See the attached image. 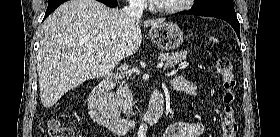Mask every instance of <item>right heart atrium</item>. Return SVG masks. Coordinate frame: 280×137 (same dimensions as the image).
I'll return each mask as SVG.
<instances>
[{
	"mask_svg": "<svg viewBox=\"0 0 280 137\" xmlns=\"http://www.w3.org/2000/svg\"><path fill=\"white\" fill-rule=\"evenodd\" d=\"M133 3H134V6L138 7V8H144L146 6L145 0H134Z\"/></svg>",
	"mask_w": 280,
	"mask_h": 137,
	"instance_id": "obj_1",
	"label": "right heart atrium"
}]
</instances>
